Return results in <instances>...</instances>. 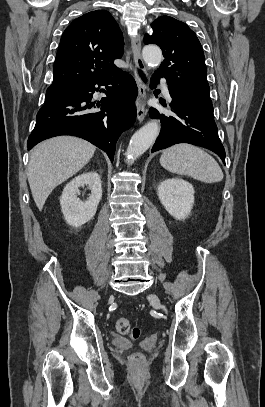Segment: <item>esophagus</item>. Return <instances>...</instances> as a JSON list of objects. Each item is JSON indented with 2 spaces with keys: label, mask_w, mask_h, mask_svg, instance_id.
I'll return each instance as SVG.
<instances>
[{
  "label": "esophagus",
  "mask_w": 265,
  "mask_h": 407,
  "mask_svg": "<svg viewBox=\"0 0 265 407\" xmlns=\"http://www.w3.org/2000/svg\"><path fill=\"white\" fill-rule=\"evenodd\" d=\"M132 50L134 53V58H135V68H134V75H135V80L137 83L138 87V95L140 99V103L137 108V120L139 122H142L145 118L146 115V109H145V99H146V85L143 82V79L140 76V73L143 75H146V66L143 62L142 56H141V36L140 34L135 35L132 40Z\"/></svg>",
  "instance_id": "esophagus-1"
}]
</instances>
